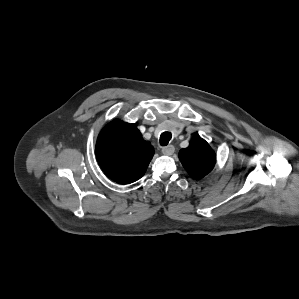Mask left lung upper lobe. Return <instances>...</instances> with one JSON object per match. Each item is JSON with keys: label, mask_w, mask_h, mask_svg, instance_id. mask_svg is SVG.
Instances as JSON below:
<instances>
[{"label": "left lung upper lobe", "mask_w": 299, "mask_h": 299, "mask_svg": "<svg viewBox=\"0 0 299 299\" xmlns=\"http://www.w3.org/2000/svg\"><path fill=\"white\" fill-rule=\"evenodd\" d=\"M179 159L194 179H201L212 171L216 156L209 144L200 137L191 140L189 147L182 149Z\"/></svg>", "instance_id": "left-lung-upper-lobe-1"}]
</instances>
